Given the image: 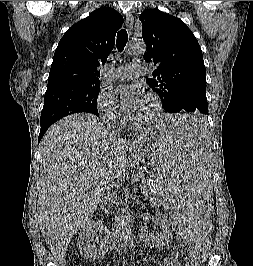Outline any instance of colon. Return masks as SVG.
<instances>
[{
  "mask_svg": "<svg viewBox=\"0 0 253 266\" xmlns=\"http://www.w3.org/2000/svg\"><path fill=\"white\" fill-rule=\"evenodd\" d=\"M210 248V242H203L202 248H190L184 266H200Z\"/></svg>",
  "mask_w": 253,
  "mask_h": 266,
  "instance_id": "1",
  "label": "colon"
}]
</instances>
